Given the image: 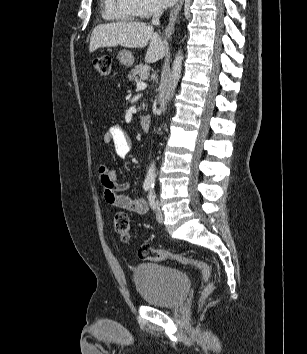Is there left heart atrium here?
Returning a JSON list of instances; mask_svg holds the SVG:
<instances>
[{"mask_svg":"<svg viewBox=\"0 0 307 354\" xmlns=\"http://www.w3.org/2000/svg\"><path fill=\"white\" fill-rule=\"evenodd\" d=\"M157 2L162 6H171L176 2V0H157Z\"/></svg>","mask_w":307,"mask_h":354,"instance_id":"left-heart-atrium-1","label":"left heart atrium"}]
</instances>
